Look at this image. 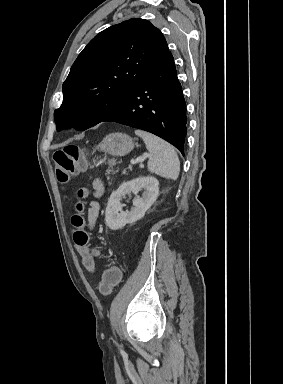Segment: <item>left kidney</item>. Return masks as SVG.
I'll use <instances>...</instances> for the list:
<instances>
[{
    "label": "left kidney",
    "mask_w": 283,
    "mask_h": 384,
    "mask_svg": "<svg viewBox=\"0 0 283 384\" xmlns=\"http://www.w3.org/2000/svg\"><path fill=\"white\" fill-rule=\"evenodd\" d=\"M141 190H144L142 198H135L133 200L135 208H131V212H122V208L125 206V204H121L122 196L131 194V192L138 194ZM158 194L159 182L156 178H152V176H148V178H135L131 182H124L116 192H112L108 200L105 214L106 226L110 230H121L126 224H134L137 220H141L145 212L157 200Z\"/></svg>",
    "instance_id": "left-kidney-1"
}]
</instances>
